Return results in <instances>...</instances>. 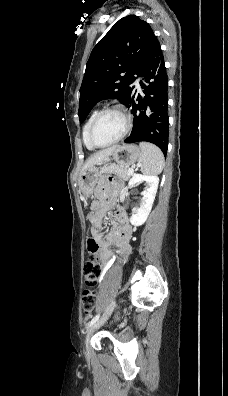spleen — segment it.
Returning <instances> with one entry per match:
<instances>
[{
  "mask_svg": "<svg viewBox=\"0 0 228 396\" xmlns=\"http://www.w3.org/2000/svg\"><path fill=\"white\" fill-rule=\"evenodd\" d=\"M139 146L141 172L146 175L160 174L164 167V156L161 150L149 142H140Z\"/></svg>",
  "mask_w": 228,
  "mask_h": 396,
  "instance_id": "spleen-1",
  "label": "spleen"
}]
</instances>
